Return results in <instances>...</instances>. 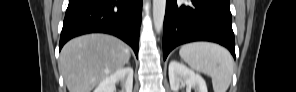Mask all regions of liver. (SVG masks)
Instances as JSON below:
<instances>
[{"mask_svg":"<svg viewBox=\"0 0 296 92\" xmlns=\"http://www.w3.org/2000/svg\"><path fill=\"white\" fill-rule=\"evenodd\" d=\"M129 47L106 34H88L70 40L61 50L58 67L69 92H91L112 72L129 62Z\"/></svg>","mask_w":296,"mask_h":92,"instance_id":"obj_1","label":"liver"}]
</instances>
